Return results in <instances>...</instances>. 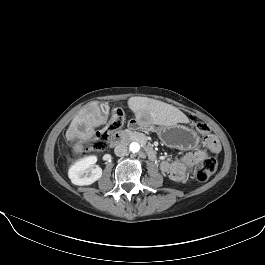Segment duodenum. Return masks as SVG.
<instances>
[{
	"mask_svg": "<svg viewBox=\"0 0 265 265\" xmlns=\"http://www.w3.org/2000/svg\"><path fill=\"white\" fill-rule=\"evenodd\" d=\"M130 137L136 139L137 141L143 142V137L140 134H135L129 130H123L120 132H116L111 136L110 144L111 146H117L122 141ZM145 150L151 160L157 161V154L151 147L146 146Z\"/></svg>",
	"mask_w": 265,
	"mask_h": 265,
	"instance_id": "1",
	"label": "duodenum"
}]
</instances>
